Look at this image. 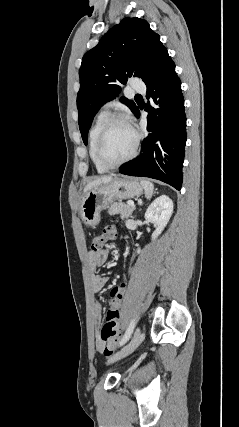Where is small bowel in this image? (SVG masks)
I'll return each instance as SVG.
<instances>
[{
	"label": "small bowel",
	"instance_id": "obj_1",
	"mask_svg": "<svg viewBox=\"0 0 239 427\" xmlns=\"http://www.w3.org/2000/svg\"><path fill=\"white\" fill-rule=\"evenodd\" d=\"M108 255L109 252L107 249H102L98 253H88L87 255V264L91 272L90 284L94 292L101 291L108 281L107 277L101 276L96 273L97 269L107 261ZM93 313L95 320L97 322H100L102 316V306L99 302L94 303ZM97 348L100 351L103 350L104 343L102 342V340H97Z\"/></svg>",
	"mask_w": 239,
	"mask_h": 427
}]
</instances>
